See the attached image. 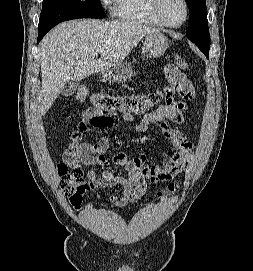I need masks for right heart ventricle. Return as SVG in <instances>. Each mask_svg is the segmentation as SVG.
Instances as JSON below:
<instances>
[{"instance_id": "obj_1", "label": "right heart ventricle", "mask_w": 253, "mask_h": 271, "mask_svg": "<svg viewBox=\"0 0 253 271\" xmlns=\"http://www.w3.org/2000/svg\"><path fill=\"white\" fill-rule=\"evenodd\" d=\"M113 11L117 17L127 22L162 26L152 14L149 0H115Z\"/></svg>"}]
</instances>
